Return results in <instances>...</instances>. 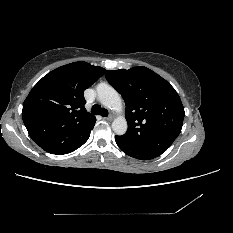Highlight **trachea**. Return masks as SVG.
Wrapping results in <instances>:
<instances>
[{"mask_svg": "<svg viewBox=\"0 0 233 233\" xmlns=\"http://www.w3.org/2000/svg\"><path fill=\"white\" fill-rule=\"evenodd\" d=\"M92 113L94 115H101L103 117L108 116V111L105 108H101L99 105L95 104L92 106Z\"/></svg>", "mask_w": 233, "mask_h": 233, "instance_id": "trachea-1", "label": "trachea"}]
</instances>
